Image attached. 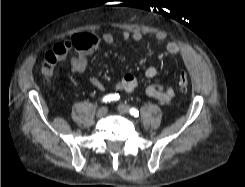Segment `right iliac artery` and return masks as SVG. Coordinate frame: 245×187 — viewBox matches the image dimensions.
Wrapping results in <instances>:
<instances>
[{
	"mask_svg": "<svg viewBox=\"0 0 245 187\" xmlns=\"http://www.w3.org/2000/svg\"><path fill=\"white\" fill-rule=\"evenodd\" d=\"M120 96L117 93L114 94H108L103 98V102L105 103H110V102H115L117 100H119Z\"/></svg>",
	"mask_w": 245,
	"mask_h": 187,
	"instance_id": "obj_1",
	"label": "right iliac artery"
}]
</instances>
